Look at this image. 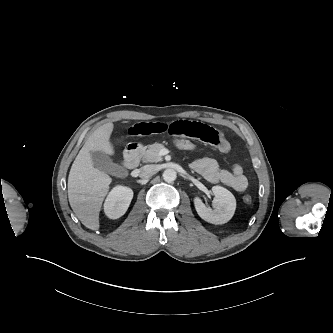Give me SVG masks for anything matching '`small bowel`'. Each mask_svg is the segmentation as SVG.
Listing matches in <instances>:
<instances>
[{"mask_svg":"<svg viewBox=\"0 0 333 333\" xmlns=\"http://www.w3.org/2000/svg\"><path fill=\"white\" fill-rule=\"evenodd\" d=\"M128 132L132 136L165 134L171 137H188L215 146L221 153L226 154L230 151V144L222 132L196 121L140 122L131 125ZM191 167L209 182L222 183L239 192L246 190L248 186V179L239 164H235L229 170L221 169L215 159L204 157L195 160Z\"/></svg>","mask_w":333,"mask_h":333,"instance_id":"obj_1","label":"small bowel"}]
</instances>
